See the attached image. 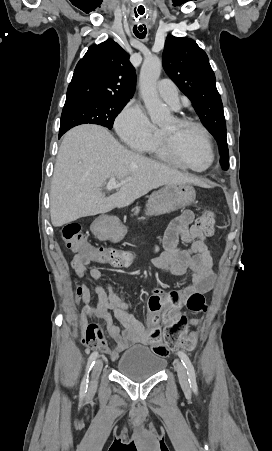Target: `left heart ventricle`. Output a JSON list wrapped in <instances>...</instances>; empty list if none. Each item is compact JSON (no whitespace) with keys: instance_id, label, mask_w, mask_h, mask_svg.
<instances>
[{"instance_id":"left-heart-ventricle-1","label":"left heart ventricle","mask_w":272,"mask_h":451,"mask_svg":"<svg viewBox=\"0 0 272 451\" xmlns=\"http://www.w3.org/2000/svg\"><path fill=\"white\" fill-rule=\"evenodd\" d=\"M168 143L174 144L184 164L195 170H204L210 163L209 150L201 136L194 128L181 126L170 118L163 126Z\"/></svg>"}]
</instances>
